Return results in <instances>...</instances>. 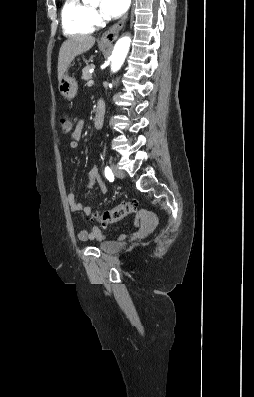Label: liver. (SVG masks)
Listing matches in <instances>:
<instances>
[{
    "label": "liver",
    "instance_id": "6515ba94",
    "mask_svg": "<svg viewBox=\"0 0 254 397\" xmlns=\"http://www.w3.org/2000/svg\"><path fill=\"white\" fill-rule=\"evenodd\" d=\"M94 44L95 38L91 35H77L64 41L58 57V80L62 78L73 59L90 50Z\"/></svg>",
    "mask_w": 254,
    "mask_h": 397
}]
</instances>
